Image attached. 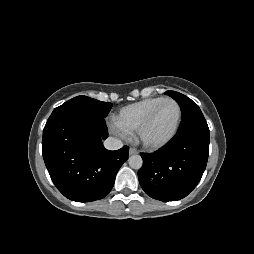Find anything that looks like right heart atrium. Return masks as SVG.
Masks as SVG:
<instances>
[{
  "instance_id": "obj_1",
  "label": "right heart atrium",
  "mask_w": 254,
  "mask_h": 254,
  "mask_svg": "<svg viewBox=\"0 0 254 254\" xmlns=\"http://www.w3.org/2000/svg\"><path fill=\"white\" fill-rule=\"evenodd\" d=\"M110 129L114 134H116L122 138H127L130 134L129 131H127L123 127H121L116 121L111 123Z\"/></svg>"
}]
</instances>
